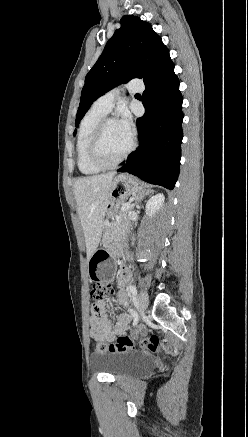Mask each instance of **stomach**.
I'll return each instance as SVG.
<instances>
[{"mask_svg": "<svg viewBox=\"0 0 248 437\" xmlns=\"http://www.w3.org/2000/svg\"><path fill=\"white\" fill-rule=\"evenodd\" d=\"M142 190L138 180L128 174H120L113 180L110 200L106 207L108 217H114L124 201L131 195H136ZM111 242L110 237L107 238ZM87 264L89 279H94L95 286H110L113 272L116 270L114 256L109 248L97 249Z\"/></svg>", "mask_w": 248, "mask_h": 437, "instance_id": "0dacf381", "label": "stomach"}]
</instances>
